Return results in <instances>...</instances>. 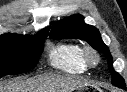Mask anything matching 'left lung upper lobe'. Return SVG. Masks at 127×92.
<instances>
[{
	"instance_id": "1",
	"label": "left lung upper lobe",
	"mask_w": 127,
	"mask_h": 92,
	"mask_svg": "<svg viewBox=\"0 0 127 92\" xmlns=\"http://www.w3.org/2000/svg\"><path fill=\"white\" fill-rule=\"evenodd\" d=\"M50 37L87 41L94 49L106 55L109 64L108 67L112 74V84L122 89L126 88L124 79L112 67V56L108 47L103 43L99 31L94 26L84 23V18L81 15H73L56 22L51 30Z\"/></svg>"
}]
</instances>
